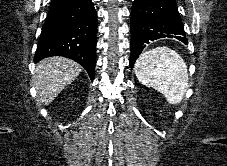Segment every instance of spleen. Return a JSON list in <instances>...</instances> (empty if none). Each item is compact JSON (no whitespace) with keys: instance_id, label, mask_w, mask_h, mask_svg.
I'll return each mask as SVG.
<instances>
[{"instance_id":"1","label":"spleen","mask_w":227,"mask_h":166,"mask_svg":"<svg viewBox=\"0 0 227 166\" xmlns=\"http://www.w3.org/2000/svg\"><path fill=\"white\" fill-rule=\"evenodd\" d=\"M135 74L143 85L162 93L168 103H180L188 88V71L183 58L167 47L142 53L135 63Z\"/></svg>"}]
</instances>
